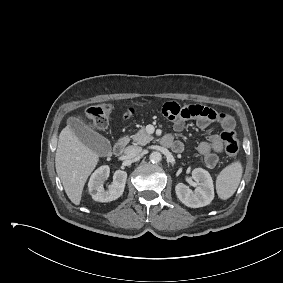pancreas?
<instances>
[{
	"label": "pancreas",
	"instance_id": "obj_1",
	"mask_svg": "<svg viewBox=\"0 0 283 283\" xmlns=\"http://www.w3.org/2000/svg\"><path fill=\"white\" fill-rule=\"evenodd\" d=\"M130 138L133 140V142L137 145H146L151 140H153V137L149 135L145 128L142 127L137 133L130 136Z\"/></svg>",
	"mask_w": 283,
	"mask_h": 283
}]
</instances>
